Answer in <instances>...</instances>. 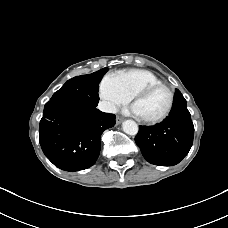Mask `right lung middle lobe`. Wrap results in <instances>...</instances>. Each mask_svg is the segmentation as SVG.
Masks as SVG:
<instances>
[{
    "instance_id": "right-lung-middle-lobe-1",
    "label": "right lung middle lobe",
    "mask_w": 228,
    "mask_h": 228,
    "mask_svg": "<svg viewBox=\"0 0 228 228\" xmlns=\"http://www.w3.org/2000/svg\"><path fill=\"white\" fill-rule=\"evenodd\" d=\"M108 68H103L88 75H81L68 80L56 91L51 102H63L78 108H94L99 101V83Z\"/></svg>"
}]
</instances>
